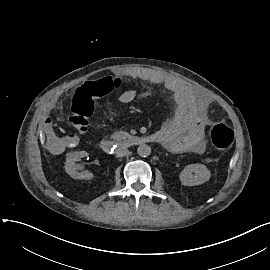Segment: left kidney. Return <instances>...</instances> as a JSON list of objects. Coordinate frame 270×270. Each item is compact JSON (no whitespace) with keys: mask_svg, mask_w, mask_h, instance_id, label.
I'll list each match as a JSON object with an SVG mask.
<instances>
[{"mask_svg":"<svg viewBox=\"0 0 270 270\" xmlns=\"http://www.w3.org/2000/svg\"><path fill=\"white\" fill-rule=\"evenodd\" d=\"M192 173H195V175ZM179 177L182 185L195 186L208 181L211 173L203 164H190L183 169Z\"/></svg>","mask_w":270,"mask_h":270,"instance_id":"obj_1","label":"left kidney"}]
</instances>
